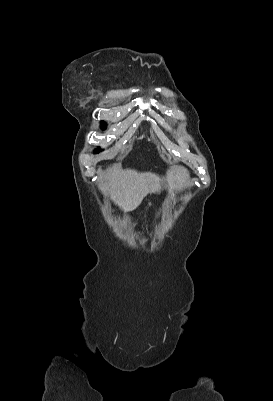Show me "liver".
Segmentation results:
<instances>
[{
	"instance_id": "1",
	"label": "liver",
	"mask_w": 273,
	"mask_h": 401,
	"mask_svg": "<svg viewBox=\"0 0 273 401\" xmlns=\"http://www.w3.org/2000/svg\"><path fill=\"white\" fill-rule=\"evenodd\" d=\"M189 172L184 166H174L173 170H168L166 178H160L154 172H137L132 168H119L112 166L100 176V188L103 192H109L112 201L123 209L124 213L134 211L142 203L144 196L148 192H159L162 182L167 180L168 190H179L187 184Z\"/></svg>"
}]
</instances>
